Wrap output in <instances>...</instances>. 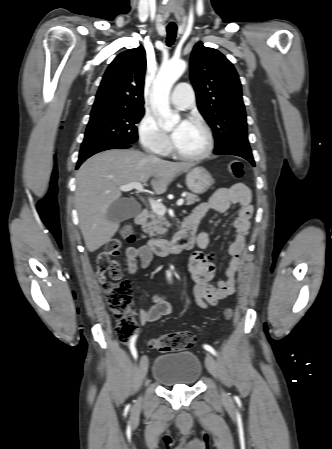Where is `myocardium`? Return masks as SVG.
<instances>
[{"instance_id": "1", "label": "myocardium", "mask_w": 332, "mask_h": 449, "mask_svg": "<svg viewBox=\"0 0 332 449\" xmlns=\"http://www.w3.org/2000/svg\"><path fill=\"white\" fill-rule=\"evenodd\" d=\"M189 123H193L196 124L197 126H199L202 131L205 134L206 137V146L205 148L196 154H187L184 153L180 150L177 149V147L175 146V144H172V150L173 153L180 159L182 160H186V161H200V160H204L206 158H208L213 150H214V145H215V141H214V135L212 130L210 129V127L207 125V123L205 121H203L200 118L197 117H193L190 119Z\"/></svg>"}]
</instances>
